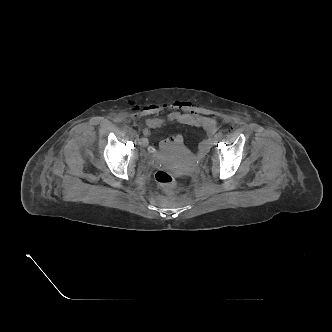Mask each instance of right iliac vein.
<instances>
[{
	"mask_svg": "<svg viewBox=\"0 0 332 332\" xmlns=\"http://www.w3.org/2000/svg\"><path fill=\"white\" fill-rule=\"evenodd\" d=\"M130 134H131L132 136H134V137L137 136V133H136V131H134V130H131V131H130Z\"/></svg>",
	"mask_w": 332,
	"mask_h": 332,
	"instance_id": "obj_1",
	"label": "right iliac vein"
}]
</instances>
